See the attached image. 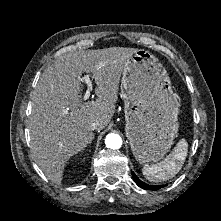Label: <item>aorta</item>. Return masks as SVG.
Listing matches in <instances>:
<instances>
[{"instance_id": "obj_1", "label": "aorta", "mask_w": 221, "mask_h": 221, "mask_svg": "<svg viewBox=\"0 0 221 221\" xmlns=\"http://www.w3.org/2000/svg\"><path fill=\"white\" fill-rule=\"evenodd\" d=\"M105 144L110 149H119L122 146V138L115 133L106 136Z\"/></svg>"}]
</instances>
